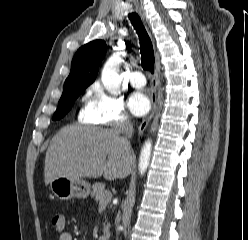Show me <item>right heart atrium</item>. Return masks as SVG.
<instances>
[{
  "label": "right heart atrium",
  "mask_w": 248,
  "mask_h": 240,
  "mask_svg": "<svg viewBox=\"0 0 248 240\" xmlns=\"http://www.w3.org/2000/svg\"><path fill=\"white\" fill-rule=\"evenodd\" d=\"M81 117L86 122L97 125L129 123L123 101L108 93L99 82L88 87Z\"/></svg>",
  "instance_id": "d8ad5b80"
}]
</instances>
